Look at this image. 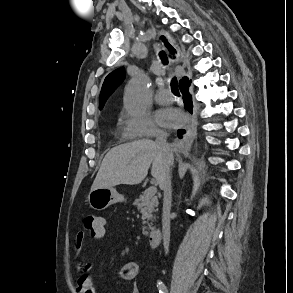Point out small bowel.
<instances>
[{
	"instance_id": "small-bowel-1",
	"label": "small bowel",
	"mask_w": 293,
	"mask_h": 293,
	"mask_svg": "<svg viewBox=\"0 0 293 293\" xmlns=\"http://www.w3.org/2000/svg\"><path fill=\"white\" fill-rule=\"evenodd\" d=\"M106 233V229L103 226V229L99 233L92 234L95 238H102ZM86 233L81 230L76 234L75 238V246L78 252H81L85 241H86ZM89 270V264L87 262H83L80 266V271ZM139 272L138 264L135 262H127L125 263L120 270V278L124 281H133L137 277ZM77 290L78 293H96V288L91 280V278L82 274L77 279ZM131 293H141L139 287L137 285H133L131 288Z\"/></svg>"
}]
</instances>
